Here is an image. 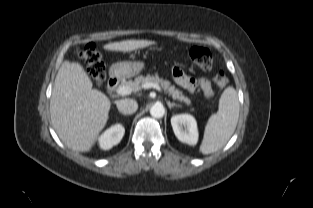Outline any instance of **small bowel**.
I'll list each match as a JSON object with an SVG mask.
<instances>
[{
  "instance_id": "obj_1",
  "label": "small bowel",
  "mask_w": 313,
  "mask_h": 208,
  "mask_svg": "<svg viewBox=\"0 0 313 208\" xmlns=\"http://www.w3.org/2000/svg\"><path fill=\"white\" fill-rule=\"evenodd\" d=\"M172 75L175 82L189 92L201 89L206 97L213 95L211 83L205 78L196 79L191 77L185 74L179 67L173 68Z\"/></svg>"
}]
</instances>
